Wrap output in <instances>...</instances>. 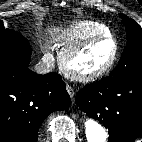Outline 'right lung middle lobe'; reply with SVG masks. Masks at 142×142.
<instances>
[{
    "label": "right lung middle lobe",
    "mask_w": 142,
    "mask_h": 142,
    "mask_svg": "<svg viewBox=\"0 0 142 142\" xmlns=\"http://www.w3.org/2000/svg\"><path fill=\"white\" fill-rule=\"evenodd\" d=\"M29 42L19 32L4 28L0 20V61L15 60L29 65Z\"/></svg>",
    "instance_id": "1"
}]
</instances>
